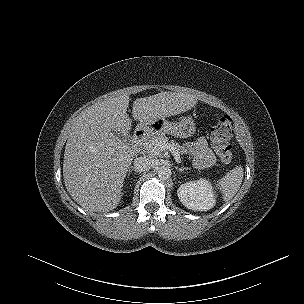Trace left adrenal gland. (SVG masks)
<instances>
[{
  "label": "left adrenal gland",
  "instance_id": "left-adrenal-gland-1",
  "mask_svg": "<svg viewBox=\"0 0 304 304\" xmlns=\"http://www.w3.org/2000/svg\"><path fill=\"white\" fill-rule=\"evenodd\" d=\"M188 169H189L188 167H181V168L178 169V171H179L180 173H183L184 170H188Z\"/></svg>",
  "mask_w": 304,
  "mask_h": 304
}]
</instances>
